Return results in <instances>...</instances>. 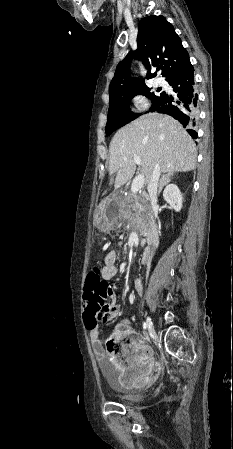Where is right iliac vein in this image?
Instances as JSON below:
<instances>
[{
  "label": "right iliac vein",
  "instance_id": "1",
  "mask_svg": "<svg viewBox=\"0 0 233 449\" xmlns=\"http://www.w3.org/2000/svg\"><path fill=\"white\" fill-rule=\"evenodd\" d=\"M146 323L148 324V330L150 334H154V328L150 317H147Z\"/></svg>",
  "mask_w": 233,
  "mask_h": 449
}]
</instances>
